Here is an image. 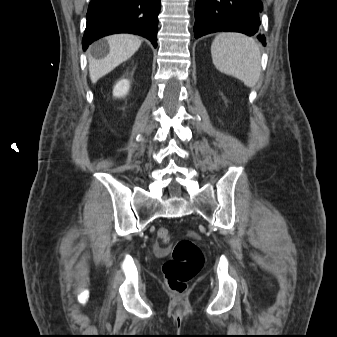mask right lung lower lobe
I'll return each instance as SVG.
<instances>
[{"instance_id":"obj_1","label":"right lung lower lobe","mask_w":337,"mask_h":337,"mask_svg":"<svg viewBox=\"0 0 337 337\" xmlns=\"http://www.w3.org/2000/svg\"><path fill=\"white\" fill-rule=\"evenodd\" d=\"M161 0H91L83 37V50L95 40L115 33H132L157 47Z\"/></svg>"}]
</instances>
